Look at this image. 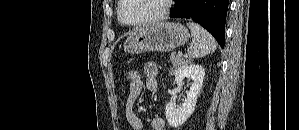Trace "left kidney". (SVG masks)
<instances>
[{
    "mask_svg": "<svg viewBox=\"0 0 299 130\" xmlns=\"http://www.w3.org/2000/svg\"><path fill=\"white\" fill-rule=\"evenodd\" d=\"M185 77L192 79V84L187 92L186 99L181 106H176L174 103L169 102L166 105V119L170 126L179 127L193 113L198 95L202 88V83L205 77L204 68L195 64H184L180 66L175 73V83L177 85L183 84Z\"/></svg>",
    "mask_w": 299,
    "mask_h": 130,
    "instance_id": "left-kidney-1",
    "label": "left kidney"
}]
</instances>
